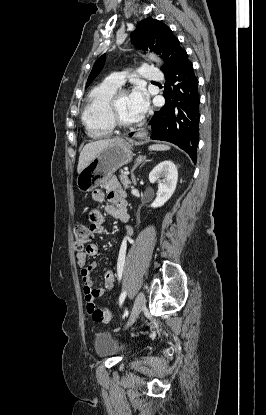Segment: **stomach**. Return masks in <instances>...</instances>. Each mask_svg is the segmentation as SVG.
<instances>
[{"label": "stomach", "mask_w": 266, "mask_h": 415, "mask_svg": "<svg viewBox=\"0 0 266 415\" xmlns=\"http://www.w3.org/2000/svg\"><path fill=\"white\" fill-rule=\"evenodd\" d=\"M130 144L118 139L109 144L85 167L77 177L78 189L90 192L110 177L120 167L132 160Z\"/></svg>", "instance_id": "1"}]
</instances>
